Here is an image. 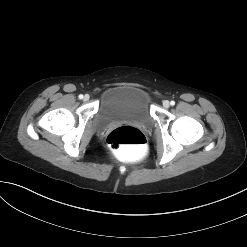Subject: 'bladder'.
Segmentation results:
<instances>
[{
    "label": "bladder",
    "instance_id": "31cf9c89",
    "mask_svg": "<svg viewBox=\"0 0 247 247\" xmlns=\"http://www.w3.org/2000/svg\"><path fill=\"white\" fill-rule=\"evenodd\" d=\"M121 121L140 125L151 123V99L144 89L121 85L110 87L101 94L94 115L95 128Z\"/></svg>",
    "mask_w": 247,
    "mask_h": 247
}]
</instances>
